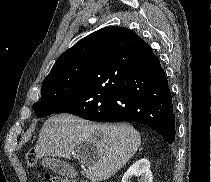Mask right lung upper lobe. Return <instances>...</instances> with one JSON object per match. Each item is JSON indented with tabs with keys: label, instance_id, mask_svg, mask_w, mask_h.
<instances>
[{
	"label": "right lung upper lobe",
	"instance_id": "obj_1",
	"mask_svg": "<svg viewBox=\"0 0 211 182\" xmlns=\"http://www.w3.org/2000/svg\"><path fill=\"white\" fill-rule=\"evenodd\" d=\"M125 29L127 30L129 37L133 43L138 44V43L144 42L133 31L127 28ZM100 30H98L97 32L91 33L90 35L86 36L85 38L77 42L73 47L65 51L57 59L56 63L52 67L48 76H52L59 70L70 67V66H75L78 64H86V63L91 62L95 43H96L97 36Z\"/></svg>",
	"mask_w": 211,
	"mask_h": 182
}]
</instances>
